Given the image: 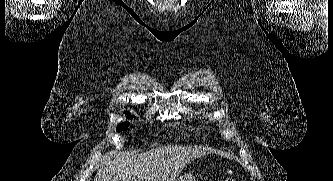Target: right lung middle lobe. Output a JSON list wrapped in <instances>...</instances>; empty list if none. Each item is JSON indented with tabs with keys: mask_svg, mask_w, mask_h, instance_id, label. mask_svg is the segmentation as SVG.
Wrapping results in <instances>:
<instances>
[{
	"mask_svg": "<svg viewBox=\"0 0 333 181\" xmlns=\"http://www.w3.org/2000/svg\"><path fill=\"white\" fill-rule=\"evenodd\" d=\"M126 114H127V116H128L129 119L132 118V116H131L128 112H127ZM128 126H129V123H128V122H124V123L118 124L116 130H117V132H120V131H122V130L127 129Z\"/></svg>",
	"mask_w": 333,
	"mask_h": 181,
	"instance_id": "dd1d6c3e",
	"label": "right lung middle lobe"
}]
</instances>
